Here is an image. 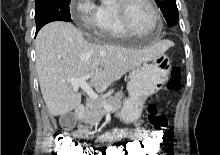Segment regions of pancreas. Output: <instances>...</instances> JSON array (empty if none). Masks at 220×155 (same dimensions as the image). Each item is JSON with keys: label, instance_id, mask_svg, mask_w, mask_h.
Listing matches in <instances>:
<instances>
[{"label": "pancreas", "instance_id": "pancreas-1", "mask_svg": "<svg viewBox=\"0 0 220 155\" xmlns=\"http://www.w3.org/2000/svg\"><path fill=\"white\" fill-rule=\"evenodd\" d=\"M123 93L118 92L115 96L105 100L106 104L112 107L110 111L115 112L122 107ZM108 110L98 102H90L86 107V114L83 117V121L86 124L85 128H92L97 126L101 119L106 115Z\"/></svg>", "mask_w": 220, "mask_h": 155}]
</instances>
